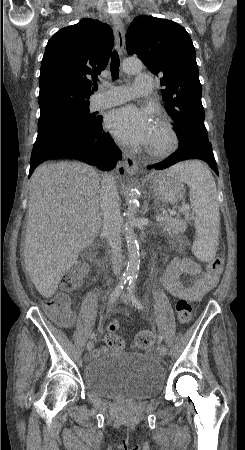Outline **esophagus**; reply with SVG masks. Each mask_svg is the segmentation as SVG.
Wrapping results in <instances>:
<instances>
[{
    "mask_svg": "<svg viewBox=\"0 0 245 450\" xmlns=\"http://www.w3.org/2000/svg\"><path fill=\"white\" fill-rule=\"evenodd\" d=\"M113 26H114V34L116 39V48L119 52V54H122L124 51V45H125V30L124 25L120 18L114 17L113 18ZM123 165L126 170V172L129 175H134L138 171V166L134 158L127 152H123Z\"/></svg>",
    "mask_w": 245,
    "mask_h": 450,
    "instance_id": "34e87169",
    "label": "esophagus"
}]
</instances>
